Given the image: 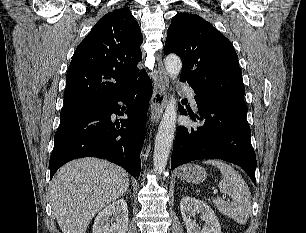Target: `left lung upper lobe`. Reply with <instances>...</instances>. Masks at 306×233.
Segmentation results:
<instances>
[{"label": "left lung upper lobe", "instance_id": "1", "mask_svg": "<svg viewBox=\"0 0 306 233\" xmlns=\"http://www.w3.org/2000/svg\"><path fill=\"white\" fill-rule=\"evenodd\" d=\"M164 53L179 55L181 80L196 94L244 101L245 87L233 45L200 16L179 13L172 18Z\"/></svg>", "mask_w": 306, "mask_h": 233}]
</instances>
